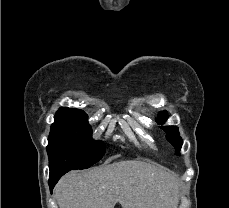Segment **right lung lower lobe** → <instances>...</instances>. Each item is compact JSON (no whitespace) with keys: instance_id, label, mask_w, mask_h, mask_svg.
Instances as JSON below:
<instances>
[{"instance_id":"obj_1","label":"right lung lower lobe","mask_w":229,"mask_h":208,"mask_svg":"<svg viewBox=\"0 0 229 208\" xmlns=\"http://www.w3.org/2000/svg\"><path fill=\"white\" fill-rule=\"evenodd\" d=\"M67 171H63L54 175H50L49 177V185H50V191L52 192L54 186L56 185V183L58 182V180L65 174L67 173Z\"/></svg>"}]
</instances>
